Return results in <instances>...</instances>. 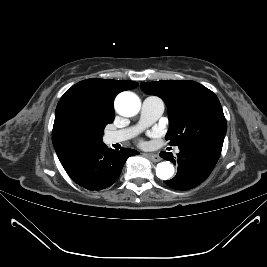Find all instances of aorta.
Wrapping results in <instances>:
<instances>
[{"label": "aorta", "instance_id": "762f6f07", "mask_svg": "<svg viewBox=\"0 0 267 267\" xmlns=\"http://www.w3.org/2000/svg\"><path fill=\"white\" fill-rule=\"evenodd\" d=\"M141 107L139 97L132 92H122L115 100V108L117 112L125 117L136 115ZM174 174V166L169 161H163L157 164L156 175L162 180L170 179Z\"/></svg>", "mask_w": 267, "mask_h": 267}]
</instances>
